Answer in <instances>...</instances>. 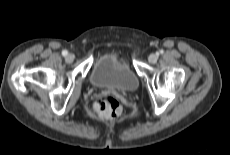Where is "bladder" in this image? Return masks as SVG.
<instances>
[{"instance_id":"1","label":"bladder","mask_w":230,"mask_h":155,"mask_svg":"<svg viewBox=\"0 0 230 155\" xmlns=\"http://www.w3.org/2000/svg\"><path fill=\"white\" fill-rule=\"evenodd\" d=\"M89 78L95 87L111 88L123 93L134 92L139 87L136 73L112 53H105L95 61Z\"/></svg>"}]
</instances>
